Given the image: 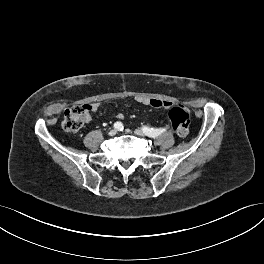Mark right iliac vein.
Here are the masks:
<instances>
[{"label":"right iliac vein","mask_w":264,"mask_h":264,"mask_svg":"<svg viewBox=\"0 0 264 264\" xmlns=\"http://www.w3.org/2000/svg\"><path fill=\"white\" fill-rule=\"evenodd\" d=\"M116 134H117V130L116 129H112V130L109 131V135L110 136H114Z\"/></svg>","instance_id":"1"}]
</instances>
